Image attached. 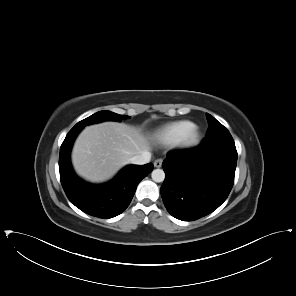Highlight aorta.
Instances as JSON below:
<instances>
[{
	"label": "aorta",
	"instance_id": "aorta-1",
	"mask_svg": "<svg viewBox=\"0 0 296 296\" xmlns=\"http://www.w3.org/2000/svg\"><path fill=\"white\" fill-rule=\"evenodd\" d=\"M151 177L155 182H163L165 179V173L162 169H155L152 171Z\"/></svg>",
	"mask_w": 296,
	"mask_h": 296
}]
</instances>
